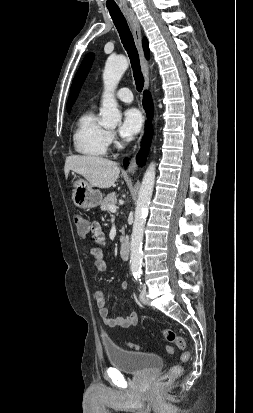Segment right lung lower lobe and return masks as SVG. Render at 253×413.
<instances>
[{
    "mask_svg": "<svg viewBox=\"0 0 253 413\" xmlns=\"http://www.w3.org/2000/svg\"><path fill=\"white\" fill-rule=\"evenodd\" d=\"M143 107L147 112L149 121L146 123V133L144 136V140L142 142V149L140 153L137 156V163L140 166H143L146 162V157L150 148L151 140H152V135H153V129L151 127V119L153 115V104H152V98L149 92H144V97H143ZM127 160L124 161V166H127Z\"/></svg>",
    "mask_w": 253,
    "mask_h": 413,
    "instance_id": "98d812e1",
    "label": "right lung lower lobe"
}]
</instances>
